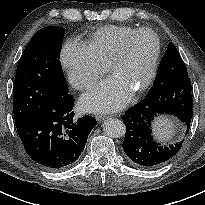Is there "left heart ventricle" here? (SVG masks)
<instances>
[{"label":"left heart ventricle","instance_id":"obj_1","mask_svg":"<svg viewBox=\"0 0 205 205\" xmlns=\"http://www.w3.org/2000/svg\"><path fill=\"white\" fill-rule=\"evenodd\" d=\"M155 47L152 35H139L130 43L126 57L115 66L113 75L134 91L148 75Z\"/></svg>","mask_w":205,"mask_h":205}]
</instances>
